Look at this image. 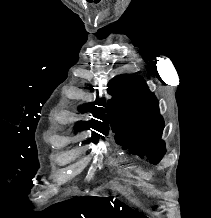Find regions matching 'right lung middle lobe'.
<instances>
[{"mask_svg": "<svg viewBox=\"0 0 211 218\" xmlns=\"http://www.w3.org/2000/svg\"><path fill=\"white\" fill-rule=\"evenodd\" d=\"M98 139H99V135H93V137L91 139H89V141L90 140L98 141Z\"/></svg>", "mask_w": 211, "mask_h": 218, "instance_id": "dd1d6c3e", "label": "right lung middle lobe"}]
</instances>
